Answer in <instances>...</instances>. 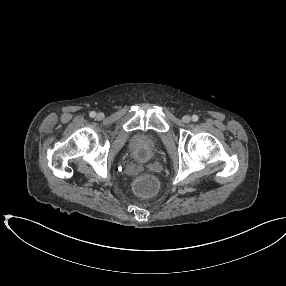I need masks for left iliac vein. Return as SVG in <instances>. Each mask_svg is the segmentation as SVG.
<instances>
[{
    "label": "left iliac vein",
    "mask_w": 286,
    "mask_h": 286,
    "mask_svg": "<svg viewBox=\"0 0 286 286\" xmlns=\"http://www.w3.org/2000/svg\"><path fill=\"white\" fill-rule=\"evenodd\" d=\"M182 121L184 123H189L191 121V117L189 115H185L183 116Z\"/></svg>",
    "instance_id": "1"
}]
</instances>
